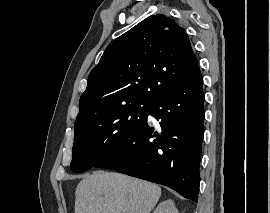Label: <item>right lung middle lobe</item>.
Segmentation results:
<instances>
[{"label":"right lung middle lobe","mask_w":270,"mask_h":213,"mask_svg":"<svg viewBox=\"0 0 270 213\" xmlns=\"http://www.w3.org/2000/svg\"><path fill=\"white\" fill-rule=\"evenodd\" d=\"M151 107L150 103H131L75 123L71 170L96 167L145 124Z\"/></svg>","instance_id":"right-lung-middle-lobe-1"}]
</instances>
